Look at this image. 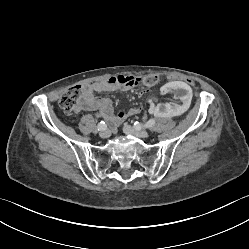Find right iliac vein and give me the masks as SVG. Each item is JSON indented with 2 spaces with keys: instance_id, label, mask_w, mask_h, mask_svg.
Instances as JSON below:
<instances>
[{
  "instance_id": "63e3f726",
  "label": "right iliac vein",
  "mask_w": 249,
  "mask_h": 249,
  "mask_svg": "<svg viewBox=\"0 0 249 249\" xmlns=\"http://www.w3.org/2000/svg\"><path fill=\"white\" fill-rule=\"evenodd\" d=\"M110 130L109 129H103L100 131L99 135L101 138H108L110 136Z\"/></svg>"
}]
</instances>
